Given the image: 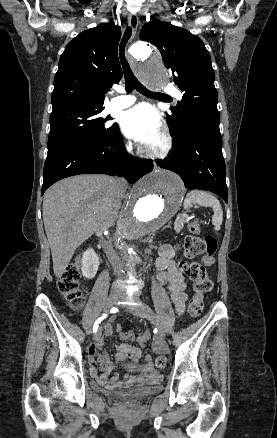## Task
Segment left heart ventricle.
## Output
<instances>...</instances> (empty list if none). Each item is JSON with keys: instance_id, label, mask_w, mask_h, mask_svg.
Returning <instances> with one entry per match:
<instances>
[{"instance_id": "1", "label": "left heart ventricle", "mask_w": 277, "mask_h": 438, "mask_svg": "<svg viewBox=\"0 0 277 438\" xmlns=\"http://www.w3.org/2000/svg\"><path fill=\"white\" fill-rule=\"evenodd\" d=\"M161 146H162V139L160 137L152 144L150 151H157L161 148Z\"/></svg>"}]
</instances>
